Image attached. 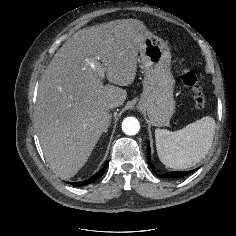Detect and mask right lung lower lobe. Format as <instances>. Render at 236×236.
Returning a JSON list of instances; mask_svg holds the SVG:
<instances>
[{
    "label": "right lung lower lobe",
    "instance_id": "obj_1",
    "mask_svg": "<svg viewBox=\"0 0 236 236\" xmlns=\"http://www.w3.org/2000/svg\"><path fill=\"white\" fill-rule=\"evenodd\" d=\"M107 166H108V161L105 163L104 167L98 173L94 174L90 178H88L84 181L75 182V183H71V184L73 186L82 187V186L88 185L90 183H93V182H95L96 180H98L99 178L102 177V175L104 174Z\"/></svg>",
    "mask_w": 236,
    "mask_h": 236
}]
</instances>
